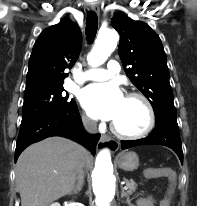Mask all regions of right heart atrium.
<instances>
[{
    "mask_svg": "<svg viewBox=\"0 0 197 206\" xmlns=\"http://www.w3.org/2000/svg\"><path fill=\"white\" fill-rule=\"evenodd\" d=\"M82 122L87 128H91L94 125L93 120L90 117H88L87 115L82 116Z\"/></svg>",
    "mask_w": 197,
    "mask_h": 206,
    "instance_id": "right-heart-atrium-1",
    "label": "right heart atrium"
}]
</instances>
